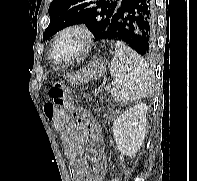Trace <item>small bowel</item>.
I'll return each mask as SVG.
<instances>
[{
  "mask_svg": "<svg viewBox=\"0 0 197 181\" xmlns=\"http://www.w3.org/2000/svg\"><path fill=\"white\" fill-rule=\"evenodd\" d=\"M61 139L73 181H103L106 171L104 140L99 124L85 109L76 110L75 120L67 123ZM88 152L94 157L91 167L84 162Z\"/></svg>",
  "mask_w": 197,
  "mask_h": 181,
  "instance_id": "1",
  "label": "small bowel"
}]
</instances>
